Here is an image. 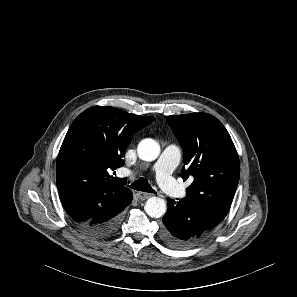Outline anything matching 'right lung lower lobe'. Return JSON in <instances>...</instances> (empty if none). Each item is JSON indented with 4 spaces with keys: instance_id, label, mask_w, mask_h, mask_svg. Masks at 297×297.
<instances>
[{
    "instance_id": "obj_1",
    "label": "right lung lower lobe",
    "mask_w": 297,
    "mask_h": 297,
    "mask_svg": "<svg viewBox=\"0 0 297 297\" xmlns=\"http://www.w3.org/2000/svg\"><path fill=\"white\" fill-rule=\"evenodd\" d=\"M132 201V197L119 208L99 212L89 220L77 223L81 231L94 238H107L119 228L122 220V211Z\"/></svg>"
}]
</instances>
